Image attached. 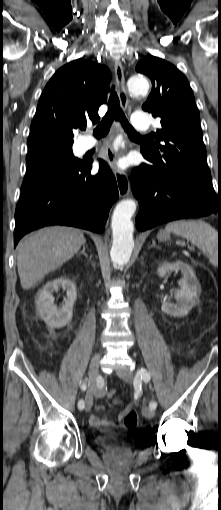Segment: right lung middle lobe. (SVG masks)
<instances>
[{
    "instance_id": "dd1d6c3e",
    "label": "right lung middle lobe",
    "mask_w": 221,
    "mask_h": 510,
    "mask_svg": "<svg viewBox=\"0 0 221 510\" xmlns=\"http://www.w3.org/2000/svg\"><path fill=\"white\" fill-rule=\"evenodd\" d=\"M27 173L22 183V191L30 184L54 178L71 176L82 161L74 157L71 147L46 146L28 152Z\"/></svg>"
}]
</instances>
